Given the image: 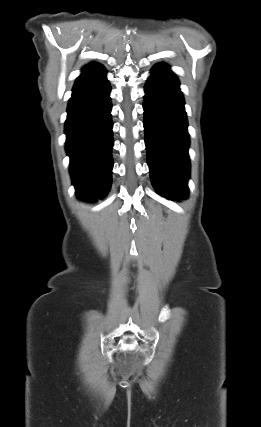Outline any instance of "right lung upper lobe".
Instances as JSON below:
<instances>
[{"label":"right lung upper lobe","instance_id":"1","mask_svg":"<svg viewBox=\"0 0 261 427\" xmlns=\"http://www.w3.org/2000/svg\"><path fill=\"white\" fill-rule=\"evenodd\" d=\"M97 66H100V65H99V64H96V63H91V64H89L88 66H86V67L83 69V71H86V70H89V69L95 68V67H97Z\"/></svg>","mask_w":261,"mask_h":427}]
</instances>
